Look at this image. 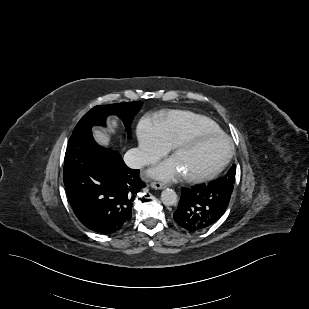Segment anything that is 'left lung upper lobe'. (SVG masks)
I'll return each mask as SVG.
<instances>
[{"instance_id":"obj_1","label":"left lung upper lobe","mask_w":309,"mask_h":309,"mask_svg":"<svg viewBox=\"0 0 309 309\" xmlns=\"http://www.w3.org/2000/svg\"><path fill=\"white\" fill-rule=\"evenodd\" d=\"M235 173H236V166L233 165L225 176L219 178L214 183L221 187L233 188V184L235 181Z\"/></svg>"}]
</instances>
